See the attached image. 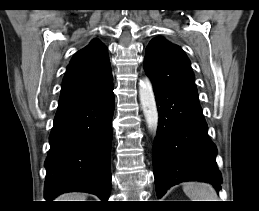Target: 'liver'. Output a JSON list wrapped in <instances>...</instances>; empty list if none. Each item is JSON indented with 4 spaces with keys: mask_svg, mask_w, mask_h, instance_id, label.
I'll return each instance as SVG.
<instances>
[{
    "mask_svg": "<svg viewBox=\"0 0 259 211\" xmlns=\"http://www.w3.org/2000/svg\"><path fill=\"white\" fill-rule=\"evenodd\" d=\"M58 199H61L58 201H85L86 196L80 193H69L60 196Z\"/></svg>",
    "mask_w": 259,
    "mask_h": 211,
    "instance_id": "obj_1",
    "label": "liver"
}]
</instances>
